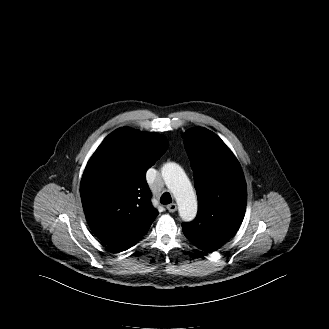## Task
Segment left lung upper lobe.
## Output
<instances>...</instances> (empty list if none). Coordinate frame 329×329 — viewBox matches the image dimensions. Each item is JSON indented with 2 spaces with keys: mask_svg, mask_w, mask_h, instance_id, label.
Wrapping results in <instances>:
<instances>
[{
  "mask_svg": "<svg viewBox=\"0 0 329 329\" xmlns=\"http://www.w3.org/2000/svg\"><path fill=\"white\" fill-rule=\"evenodd\" d=\"M185 149L194 172L198 214L183 223V233L191 242L217 239L220 233L233 235L245 213L247 188L241 166L213 132L197 127L185 132Z\"/></svg>",
  "mask_w": 329,
  "mask_h": 329,
  "instance_id": "left-lung-upper-lobe-1",
  "label": "left lung upper lobe"
}]
</instances>
